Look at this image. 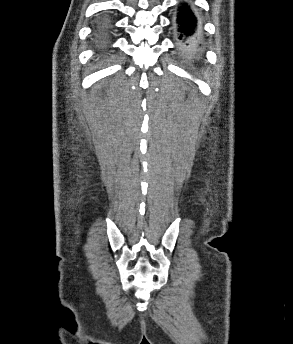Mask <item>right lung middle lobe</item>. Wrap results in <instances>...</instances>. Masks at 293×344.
Here are the masks:
<instances>
[{
    "instance_id": "1",
    "label": "right lung middle lobe",
    "mask_w": 293,
    "mask_h": 344,
    "mask_svg": "<svg viewBox=\"0 0 293 344\" xmlns=\"http://www.w3.org/2000/svg\"><path fill=\"white\" fill-rule=\"evenodd\" d=\"M106 32L105 25H101L98 29V34L101 36Z\"/></svg>"
}]
</instances>
